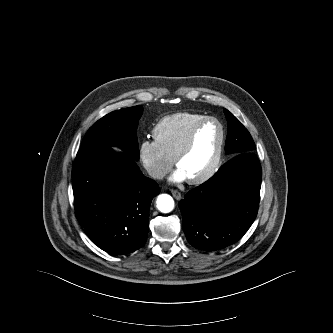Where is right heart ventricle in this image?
I'll return each mask as SVG.
<instances>
[{
    "label": "right heart ventricle",
    "mask_w": 333,
    "mask_h": 333,
    "mask_svg": "<svg viewBox=\"0 0 333 333\" xmlns=\"http://www.w3.org/2000/svg\"><path fill=\"white\" fill-rule=\"evenodd\" d=\"M206 117L190 112L165 116L152 130L154 142L168 158L173 159L192 128Z\"/></svg>",
    "instance_id": "1"
}]
</instances>
